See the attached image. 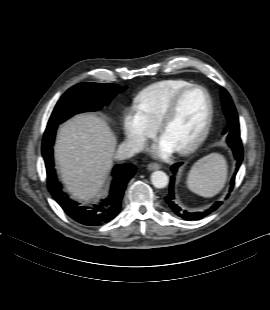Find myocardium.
Masks as SVG:
<instances>
[{"instance_id": "f54148a6", "label": "myocardium", "mask_w": 270, "mask_h": 310, "mask_svg": "<svg viewBox=\"0 0 270 310\" xmlns=\"http://www.w3.org/2000/svg\"><path fill=\"white\" fill-rule=\"evenodd\" d=\"M193 91H201L205 95L207 99V114L199 134L193 140L188 142L186 145L177 149V152L182 155L189 154L195 151L205 141V139L209 134L214 114L213 100L209 91L201 85H190L187 88L183 89L173 97V99L165 109L164 113L162 114L160 121L158 123V132L160 135H162L167 124L172 120V118L176 114L183 98Z\"/></svg>"}]
</instances>
